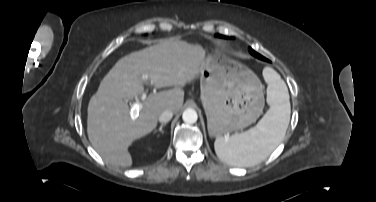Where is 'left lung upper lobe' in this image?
<instances>
[{
    "instance_id": "left-lung-upper-lobe-1",
    "label": "left lung upper lobe",
    "mask_w": 376,
    "mask_h": 202,
    "mask_svg": "<svg viewBox=\"0 0 376 202\" xmlns=\"http://www.w3.org/2000/svg\"><path fill=\"white\" fill-rule=\"evenodd\" d=\"M217 37L225 38V36L220 35V34H217ZM249 52H250L254 57H257L258 59H261V60H264V61H268V59H266L265 57H263V56L260 55L259 53L255 52L251 47H249Z\"/></svg>"
}]
</instances>
